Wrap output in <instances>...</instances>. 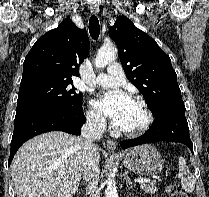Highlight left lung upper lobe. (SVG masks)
Returning <instances> with one entry per match:
<instances>
[{"mask_svg": "<svg viewBox=\"0 0 209 197\" xmlns=\"http://www.w3.org/2000/svg\"><path fill=\"white\" fill-rule=\"evenodd\" d=\"M109 36L118 46L128 80L142 93L153 114L162 107L184 105L171 60L153 38L125 16L110 27Z\"/></svg>", "mask_w": 209, "mask_h": 197, "instance_id": "5c2ea615", "label": "left lung upper lobe"}]
</instances>
